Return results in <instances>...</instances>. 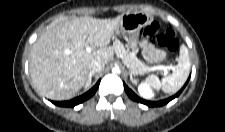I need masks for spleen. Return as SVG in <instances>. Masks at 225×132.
<instances>
[{
  "label": "spleen",
  "instance_id": "3e777b00",
  "mask_svg": "<svg viewBox=\"0 0 225 132\" xmlns=\"http://www.w3.org/2000/svg\"><path fill=\"white\" fill-rule=\"evenodd\" d=\"M190 71V59L185 45L180 47L178 65L173 73L159 81L156 77H149L147 81L156 89H162L165 93L178 91L186 82Z\"/></svg>",
  "mask_w": 225,
  "mask_h": 132
}]
</instances>
